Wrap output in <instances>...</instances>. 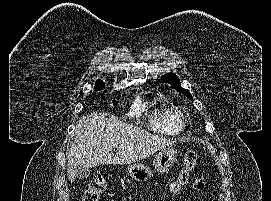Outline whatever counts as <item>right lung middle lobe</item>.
I'll list each match as a JSON object with an SVG mask.
<instances>
[{
  "mask_svg": "<svg viewBox=\"0 0 271 201\" xmlns=\"http://www.w3.org/2000/svg\"><path fill=\"white\" fill-rule=\"evenodd\" d=\"M103 87H104L103 81H102V80H97V81H96V84H95V88H96L95 91H97L98 89H99V90H100V89H103Z\"/></svg>",
  "mask_w": 271,
  "mask_h": 201,
  "instance_id": "obj_1",
  "label": "right lung middle lobe"
}]
</instances>
